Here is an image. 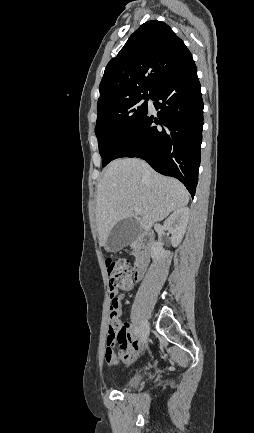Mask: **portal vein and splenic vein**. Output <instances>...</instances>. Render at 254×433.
Masks as SVG:
<instances>
[{"mask_svg":"<svg viewBox=\"0 0 254 433\" xmlns=\"http://www.w3.org/2000/svg\"><path fill=\"white\" fill-rule=\"evenodd\" d=\"M134 211H135L136 213H141V210H140L138 207L134 208Z\"/></svg>","mask_w":254,"mask_h":433,"instance_id":"obj_1","label":"portal vein and splenic vein"}]
</instances>
